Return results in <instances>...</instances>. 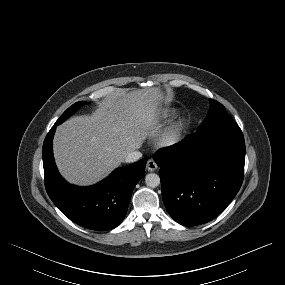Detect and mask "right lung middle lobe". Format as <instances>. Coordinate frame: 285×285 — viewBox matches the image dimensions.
Returning <instances> with one entry per match:
<instances>
[{
  "mask_svg": "<svg viewBox=\"0 0 285 285\" xmlns=\"http://www.w3.org/2000/svg\"><path fill=\"white\" fill-rule=\"evenodd\" d=\"M82 104H87L86 102H77L73 104L71 107H69L62 116L57 120V124H61L63 121H65L69 116H71Z\"/></svg>",
  "mask_w": 285,
  "mask_h": 285,
  "instance_id": "1",
  "label": "right lung middle lobe"
}]
</instances>
